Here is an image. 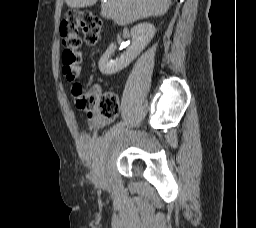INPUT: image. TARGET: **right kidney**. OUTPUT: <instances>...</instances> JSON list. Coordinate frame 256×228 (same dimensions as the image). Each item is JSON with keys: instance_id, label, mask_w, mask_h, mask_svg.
I'll return each instance as SVG.
<instances>
[{"instance_id": "obj_1", "label": "right kidney", "mask_w": 256, "mask_h": 228, "mask_svg": "<svg viewBox=\"0 0 256 228\" xmlns=\"http://www.w3.org/2000/svg\"><path fill=\"white\" fill-rule=\"evenodd\" d=\"M156 32L150 23H141L131 29L132 45L119 58L112 60L115 45L112 43L99 61V70L104 75L116 74L126 68L150 43Z\"/></svg>"}]
</instances>
